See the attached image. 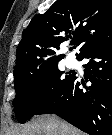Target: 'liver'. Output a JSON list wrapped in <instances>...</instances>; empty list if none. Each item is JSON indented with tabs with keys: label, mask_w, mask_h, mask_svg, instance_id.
<instances>
[{
	"label": "liver",
	"mask_w": 112,
	"mask_h": 135,
	"mask_svg": "<svg viewBox=\"0 0 112 135\" xmlns=\"http://www.w3.org/2000/svg\"><path fill=\"white\" fill-rule=\"evenodd\" d=\"M15 135H84L56 116H39L23 126Z\"/></svg>",
	"instance_id": "6515ba94"
}]
</instances>
